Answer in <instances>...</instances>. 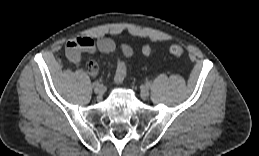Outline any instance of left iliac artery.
<instances>
[{
    "instance_id": "obj_1",
    "label": "left iliac artery",
    "mask_w": 259,
    "mask_h": 156,
    "mask_svg": "<svg viewBox=\"0 0 259 156\" xmlns=\"http://www.w3.org/2000/svg\"><path fill=\"white\" fill-rule=\"evenodd\" d=\"M146 86H147V88H150V86H151L150 82H147Z\"/></svg>"
}]
</instances>
